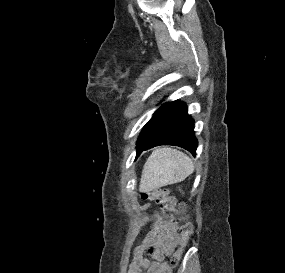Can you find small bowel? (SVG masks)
Returning <instances> with one entry per match:
<instances>
[{
	"label": "small bowel",
	"mask_w": 285,
	"mask_h": 273,
	"mask_svg": "<svg viewBox=\"0 0 285 273\" xmlns=\"http://www.w3.org/2000/svg\"><path fill=\"white\" fill-rule=\"evenodd\" d=\"M178 225L172 215L160 213L134 251L128 273H161L168 256L179 242ZM148 252L152 261L145 257Z\"/></svg>",
	"instance_id": "obj_1"
}]
</instances>
